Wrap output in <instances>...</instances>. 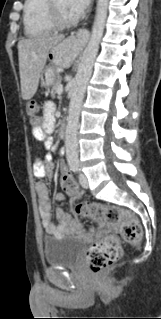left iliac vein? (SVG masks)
<instances>
[{
  "instance_id": "obj_1",
  "label": "left iliac vein",
  "mask_w": 161,
  "mask_h": 319,
  "mask_svg": "<svg viewBox=\"0 0 161 319\" xmlns=\"http://www.w3.org/2000/svg\"><path fill=\"white\" fill-rule=\"evenodd\" d=\"M79 182H80V184H81V186L83 188H88L89 187L88 179H87L86 175L83 174V173H81L79 175Z\"/></svg>"
}]
</instances>
